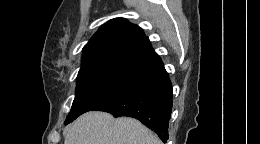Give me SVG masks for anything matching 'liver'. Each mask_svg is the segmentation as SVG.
I'll use <instances>...</instances> for the list:
<instances>
[{
	"instance_id": "1",
	"label": "liver",
	"mask_w": 260,
	"mask_h": 144,
	"mask_svg": "<svg viewBox=\"0 0 260 144\" xmlns=\"http://www.w3.org/2000/svg\"><path fill=\"white\" fill-rule=\"evenodd\" d=\"M64 144H162L160 139L138 120L115 119L105 112H88L67 130Z\"/></svg>"
}]
</instances>
